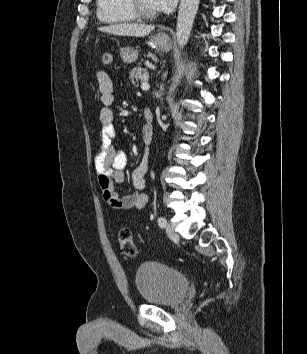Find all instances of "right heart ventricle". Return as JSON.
Returning <instances> with one entry per match:
<instances>
[{
	"label": "right heart ventricle",
	"instance_id": "right-heart-ventricle-1",
	"mask_svg": "<svg viewBox=\"0 0 307 354\" xmlns=\"http://www.w3.org/2000/svg\"><path fill=\"white\" fill-rule=\"evenodd\" d=\"M97 17L103 23L132 22L136 16L127 0H96Z\"/></svg>",
	"mask_w": 307,
	"mask_h": 354
}]
</instances>
